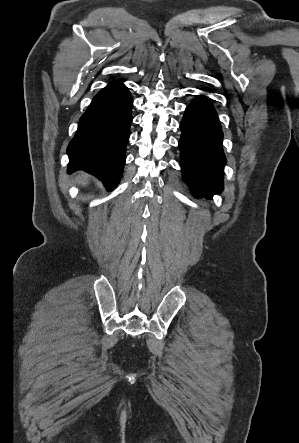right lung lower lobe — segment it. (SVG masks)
Wrapping results in <instances>:
<instances>
[{
	"instance_id": "obj_1",
	"label": "right lung lower lobe",
	"mask_w": 299,
	"mask_h": 443,
	"mask_svg": "<svg viewBox=\"0 0 299 443\" xmlns=\"http://www.w3.org/2000/svg\"><path fill=\"white\" fill-rule=\"evenodd\" d=\"M132 105L120 81L111 82L93 98L68 145V173L84 170L97 176L107 190L116 187L125 163Z\"/></svg>"
}]
</instances>
